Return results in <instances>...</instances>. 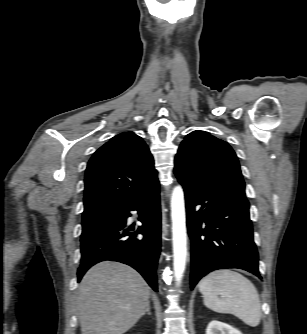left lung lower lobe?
Wrapping results in <instances>:
<instances>
[{"instance_id":"obj_1","label":"left lung lower lobe","mask_w":307,"mask_h":334,"mask_svg":"<svg viewBox=\"0 0 307 334\" xmlns=\"http://www.w3.org/2000/svg\"><path fill=\"white\" fill-rule=\"evenodd\" d=\"M177 178L192 240L191 289L209 272L224 268L244 269L262 279L246 197Z\"/></svg>"}]
</instances>
